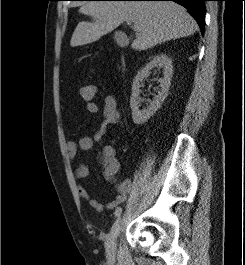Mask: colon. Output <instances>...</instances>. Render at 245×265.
Instances as JSON below:
<instances>
[{
  "label": "colon",
  "mask_w": 245,
  "mask_h": 265,
  "mask_svg": "<svg viewBox=\"0 0 245 265\" xmlns=\"http://www.w3.org/2000/svg\"><path fill=\"white\" fill-rule=\"evenodd\" d=\"M97 94V87L93 84H87L80 88V96L86 102L94 101Z\"/></svg>",
  "instance_id": "5ec220e1"
}]
</instances>
